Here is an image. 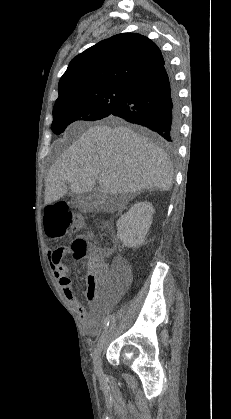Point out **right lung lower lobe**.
<instances>
[{
	"instance_id": "obj_1",
	"label": "right lung lower lobe",
	"mask_w": 231,
	"mask_h": 419,
	"mask_svg": "<svg viewBox=\"0 0 231 419\" xmlns=\"http://www.w3.org/2000/svg\"><path fill=\"white\" fill-rule=\"evenodd\" d=\"M157 132L169 145L179 135L180 104L173 74L164 63L137 80L110 114Z\"/></svg>"
}]
</instances>
